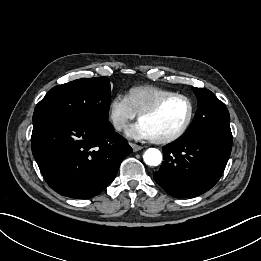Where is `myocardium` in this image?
I'll return each instance as SVG.
<instances>
[{
    "label": "myocardium",
    "instance_id": "obj_1",
    "mask_svg": "<svg viewBox=\"0 0 261 261\" xmlns=\"http://www.w3.org/2000/svg\"><path fill=\"white\" fill-rule=\"evenodd\" d=\"M171 98H180L188 104L187 118H186L185 122L183 123V125L173 134L162 137V138H151V141L153 143L168 144V143L174 142L175 140H177L181 136H183L191 125V122L194 117L193 102L191 101V99L189 97H187L183 94H180V93H169V94H166L165 96L161 97L156 102H154L152 105H150L149 107H147L144 110H142L141 112H139L138 120L140 121L142 117L155 113L162 106V104L164 102H166L167 100H169Z\"/></svg>",
    "mask_w": 261,
    "mask_h": 261
}]
</instances>
